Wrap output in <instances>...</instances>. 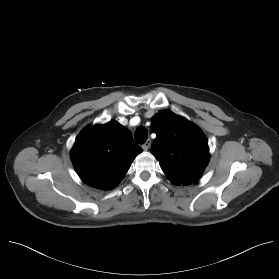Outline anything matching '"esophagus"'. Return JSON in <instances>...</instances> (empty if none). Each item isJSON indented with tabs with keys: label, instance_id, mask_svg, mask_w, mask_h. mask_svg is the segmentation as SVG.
I'll use <instances>...</instances> for the list:
<instances>
[{
	"label": "esophagus",
	"instance_id": "esophagus-1",
	"mask_svg": "<svg viewBox=\"0 0 279 279\" xmlns=\"http://www.w3.org/2000/svg\"><path fill=\"white\" fill-rule=\"evenodd\" d=\"M150 145H151V140L148 139V140L142 145V149L145 150V151H147V150L149 149Z\"/></svg>",
	"mask_w": 279,
	"mask_h": 279
}]
</instances>
